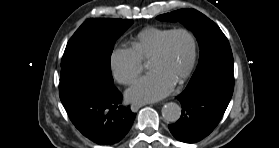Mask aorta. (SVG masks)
<instances>
[{"instance_id": "obj_1", "label": "aorta", "mask_w": 279, "mask_h": 148, "mask_svg": "<svg viewBox=\"0 0 279 148\" xmlns=\"http://www.w3.org/2000/svg\"><path fill=\"white\" fill-rule=\"evenodd\" d=\"M162 114L166 121L176 122L181 116V107L174 102L166 103L162 107Z\"/></svg>"}]
</instances>
